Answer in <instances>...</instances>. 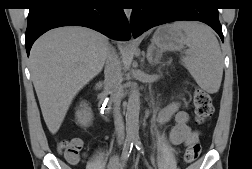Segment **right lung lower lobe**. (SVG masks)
Masks as SVG:
<instances>
[{
    "mask_svg": "<svg viewBox=\"0 0 252 169\" xmlns=\"http://www.w3.org/2000/svg\"><path fill=\"white\" fill-rule=\"evenodd\" d=\"M85 26L122 41L131 38L129 22L120 0H36L29 8L25 46L59 26Z\"/></svg>",
    "mask_w": 252,
    "mask_h": 169,
    "instance_id": "1",
    "label": "right lung lower lobe"
}]
</instances>
